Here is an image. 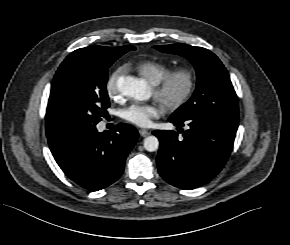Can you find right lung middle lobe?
<instances>
[{
  "label": "right lung middle lobe",
  "mask_w": 290,
  "mask_h": 245,
  "mask_svg": "<svg viewBox=\"0 0 290 245\" xmlns=\"http://www.w3.org/2000/svg\"><path fill=\"white\" fill-rule=\"evenodd\" d=\"M130 50L98 52L82 48L72 52L54 76L46 117L65 128L101 121L109 107V67Z\"/></svg>",
  "instance_id": "1"
}]
</instances>
